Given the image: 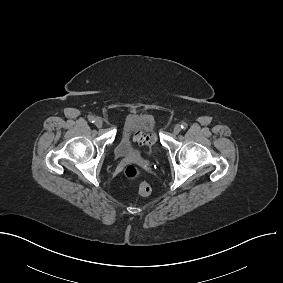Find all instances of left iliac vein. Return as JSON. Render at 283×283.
Segmentation results:
<instances>
[{
  "label": "left iliac vein",
  "mask_w": 283,
  "mask_h": 283,
  "mask_svg": "<svg viewBox=\"0 0 283 283\" xmlns=\"http://www.w3.org/2000/svg\"><path fill=\"white\" fill-rule=\"evenodd\" d=\"M174 133L175 134H179L180 133V131H181V127H180V125H176L175 127H174Z\"/></svg>",
  "instance_id": "4c4485c4"
}]
</instances>
